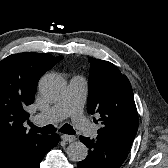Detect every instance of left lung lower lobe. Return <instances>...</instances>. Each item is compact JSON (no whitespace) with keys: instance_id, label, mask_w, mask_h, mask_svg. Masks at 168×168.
Here are the masks:
<instances>
[{"instance_id":"0a47b994","label":"left lung lower lobe","mask_w":168,"mask_h":168,"mask_svg":"<svg viewBox=\"0 0 168 168\" xmlns=\"http://www.w3.org/2000/svg\"><path fill=\"white\" fill-rule=\"evenodd\" d=\"M80 141L89 148V155L78 163V168H120L130 149L103 135L95 139L80 136Z\"/></svg>"}]
</instances>
